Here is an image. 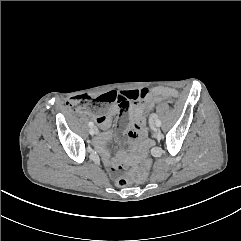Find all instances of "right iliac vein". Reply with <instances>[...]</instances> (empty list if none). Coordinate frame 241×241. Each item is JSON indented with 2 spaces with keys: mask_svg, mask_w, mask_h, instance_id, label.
Masks as SVG:
<instances>
[{
  "mask_svg": "<svg viewBox=\"0 0 241 241\" xmlns=\"http://www.w3.org/2000/svg\"><path fill=\"white\" fill-rule=\"evenodd\" d=\"M97 132H98V129L96 127H94V126L91 127L90 130H89V133L91 135H95Z\"/></svg>",
  "mask_w": 241,
  "mask_h": 241,
  "instance_id": "63e3f726",
  "label": "right iliac vein"
}]
</instances>
